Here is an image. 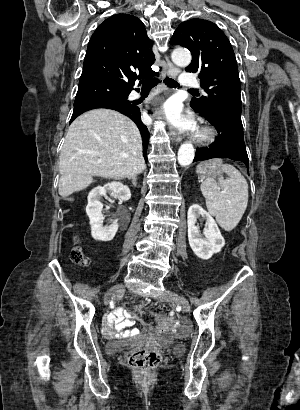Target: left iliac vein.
<instances>
[{"instance_id": "1", "label": "left iliac vein", "mask_w": 300, "mask_h": 410, "mask_svg": "<svg viewBox=\"0 0 300 410\" xmlns=\"http://www.w3.org/2000/svg\"><path fill=\"white\" fill-rule=\"evenodd\" d=\"M156 299L159 301L175 302L180 305L184 311H190L188 300L170 290H164Z\"/></svg>"}]
</instances>
